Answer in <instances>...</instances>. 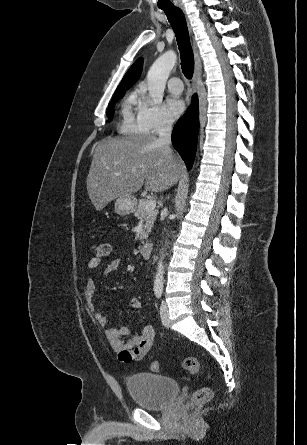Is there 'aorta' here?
<instances>
[{"label": "aorta", "instance_id": "aorta-1", "mask_svg": "<svg viewBox=\"0 0 307 445\" xmlns=\"http://www.w3.org/2000/svg\"><path fill=\"white\" fill-rule=\"evenodd\" d=\"M177 54L175 50H166L164 54H160L153 62L151 68L147 72V84L149 96H151L154 104H160L163 100V94L167 82V78L175 66ZM164 289V263L163 257L157 263V271L154 279V291H163Z\"/></svg>", "mask_w": 307, "mask_h": 445}]
</instances>
